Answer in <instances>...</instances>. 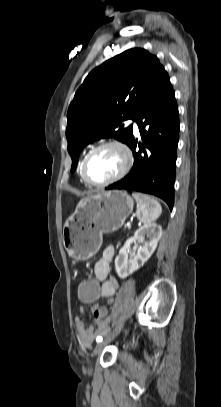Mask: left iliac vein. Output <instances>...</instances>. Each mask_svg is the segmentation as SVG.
<instances>
[{"instance_id": "left-iliac-vein-1", "label": "left iliac vein", "mask_w": 221, "mask_h": 407, "mask_svg": "<svg viewBox=\"0 0 221 407\" xmlns=\"http://www.w3.org/2000/svg\"><path fill=\"white\" fill-rule=\"evenodd\" d=\"M121 329H122V326L118 327L112 334L108 335L107 338L104 341L98 342L96 347L93 350L92 357H95L96 355H98L102 351L103 347L108 342H110L115 336H117L119 334ZM91 372H92V369L90 368L89 373H91Z\"/></svg>"}]
</instances>
